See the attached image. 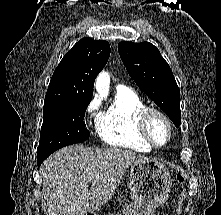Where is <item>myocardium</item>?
<instances>
[{
    "label": "myocardium",
    "mask_w": 221,
    "mask_h": 215,
    "mask_svg": "<svg viewBox=\"0 0 221 215\" xmlns=\"http://www.w3.org/2000/svg\"><path fill=\"white\" fill-rule=\"evenodd\" d=\"M153 116L161 118L167 126L168 136L163 144H158L153 139L150 133V121ZM138 128L142 138L150 144L153 148H163L167 146L173 135V125L170 118L166 115L164 111L155 107H145L139 114L138 117Z\"/></svg>",
    "instance_id": "obj_1"
}]
</instances>
